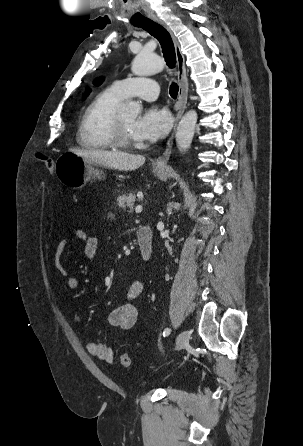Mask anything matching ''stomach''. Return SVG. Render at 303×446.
<instances>
[{
  "label": "stomach",
  "instance_id": "stomach-1",
  "mask_svg": "<svg viewBox=\"0 0 303 446\" xmlns=\"http://www.w3.org/2000/svg\"><path fill=\"white\" fill-rule=\"evenodd\" d=\"M153 172L161 179H167L166 167H155ZM55 174L58 180L73 189H80L91 178L101 179L103 171L98 169L97 164L72 152H67L58 157L55 162Z\"/></svg>",
  "mask_w": 303,
  "mask_h": 446
}]
</instances>
